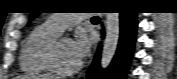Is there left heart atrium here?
I'll use <instances>...</instances> for the list:
<instances>
[{
  "instance_id": "obj_1",
  "label": "left heart atrium",
  "mask_w": 177,
  "mask_h": 79,
  "mask_svg": "<svg viewBox=\"0 0 177 79\" xmlns=\"http://www.w3.org/2000/svg\"><path fill=\"white\" fill-rule=\"evenodd\" d=\"M91 47V40L85 32H80L72 41V48L79 61L87 56Z\"/></svg>"
}]
</instances>
